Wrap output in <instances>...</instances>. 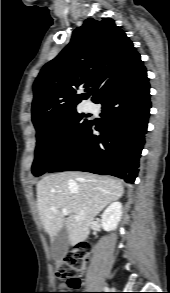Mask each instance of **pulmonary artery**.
Segmentation results:
<instances>
[{
  "mask_svg": "<svg viewBox=\"0 0 170 293\" xmlns=\"http://www.w3.org/2000/svg\"><path fill=\"white\" fill-rule=\"evenodd\" d=\"M91 109V107L90 106H88L87 108H86V110H90Z\"/></svg>",
  "mask_w": 170,
  "mask_h": 293,
  "instance_id": "e3ab8cb5",
  "label": "pulmonary artery"
}]
</instances>
